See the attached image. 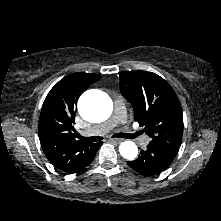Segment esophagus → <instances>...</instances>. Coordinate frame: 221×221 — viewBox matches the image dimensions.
Instances as JSON below:
<instances>
[{"label":"esophagus","instance_id":"obj_1","mask_svg":"<svg viewBox=\"0 0 221 221\" xmlns=\"http://www.w3.org/2000/svg\"><path fill=\"white\" fill-rule=\"evenodd\" d=\"M109 141L112 143H120V142H122V139L112 138Z\"/></svg>","mask_w":221,"mask_h":221}]
</instances>
